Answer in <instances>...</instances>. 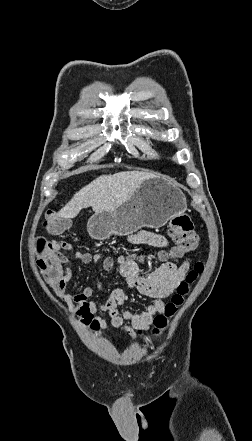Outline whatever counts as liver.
I'll list each match as a JSON object with an SVG mask.
<instances>
[{
    "label": "liver",
    "mask_w": 252,
    "mask_h": 441,
    "mask_svg": "<svg viewBox=\"0 0 252 441\" xmlns=\"http://www.w3.org/2000/svg\"><path fill=\"white\" fill-rule=\"evenodd\" d=\"M155 175L142 171H123L101 175L74 194L57 213L62 218H75L83 208L94 212L113 211L122 204L146 179Z\"/></svg>",
    "instance_id": "6515ba94"
}]
</instances>
